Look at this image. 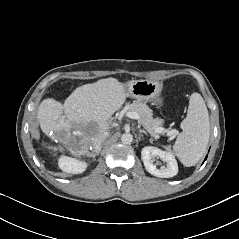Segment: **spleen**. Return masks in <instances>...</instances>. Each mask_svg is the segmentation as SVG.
<instances>
[{
    "label": "spleen",
    "instance_id": "3e777b00",
    "mask_svg": "<svg viewBox=\"0 0 239 239\" xmlns=\"http://www.w3.org/2000/svg\"><path fill=\"white\" fill-rule=\"evenodd\" d=\"M181 128L182 132L173 145V151L184 166L190 167L203 157L210 138L209 114L199 93L191 95L187 116L181 122ZM166 148L169 150L170 146Z\"/></svg>",
    "mask_w": 239,
    "mask_h": 239
}]
</instances>
